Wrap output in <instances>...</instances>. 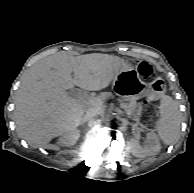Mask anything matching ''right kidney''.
<instances>
[{
    "label": "right kidney",
    "instance_id": "1",
    "mask_svg": "<svg viewBox=\"0 0 194 193\" xmlns=\"http://www.w3.org/2000/svg\"><path fill=\"white\" fill-rule=\"evenodd\" d=\"M80 137V132L76 128L70 129L59 139L61 146H73Z\"/></svg>",
    "mask_w": 194,
    "mask_h": 193
}]
</instances>
